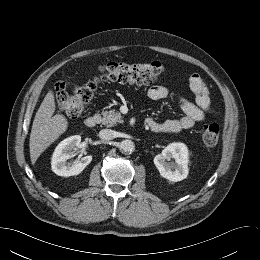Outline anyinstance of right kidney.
<instances>
[{
    "mask_svg": "<svg viewBox=\"0 0 260 260\" xmlns=\"http://www.w3.org/2000/svg\"><path fill=\"white\" fill-rule=\"evenodd\" d=\"M80 142L81 136L75 135L64 139L58 144L51 161L52 171L55 174L64 177L78 175L90 164L92 161L91 155L82 157L75 162L67 161L72 157L73 150L79 146Z\"/></svg>",
    "mask_w": 260,
    "mask_h": 260,
    "instance_id": "ca27d5eb",
    "label": "right kidney"
}]
</instances>
